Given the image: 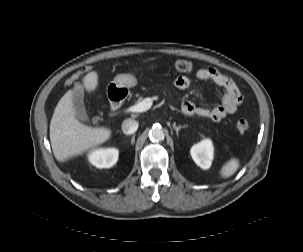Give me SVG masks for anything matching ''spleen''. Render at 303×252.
I'll use <instances>...</instances> for the list:
<instances>
[{"label":"spleen","mask_w":303,"mask_h":252,"mask_svg":"<svg viewBox=\"0 0 303 252\" xmlns=\"http://www.w3.org/2000/svg\"><path fill=\"white\" fill-rule=\"evenodd\" d=\"M240 167V162L236 158H232L227 161L220 169V176L222 178H228L232 176Z\"/></svg>","instance_id":"obj_1"}]
</instances>
